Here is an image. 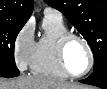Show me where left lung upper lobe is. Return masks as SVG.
I'll use <instances>...</instances> for the list:
<instances>
[{
  "instance_id": "obj_1",
  "label": "left lung upper lobe",
  "mask_w": 107,
  "mask_h": 89,
  "mask_svg": "<svg viewBox=\"0 0 107 89\" xmlns=\"http://www.w3.org/2000/svg\"><path fill=\"white\" fill-rule=\"evenodd\" d=\"M77 28L90 45L94 69L107 60V0H45Z\"/></svg>"
}]
</instances>
